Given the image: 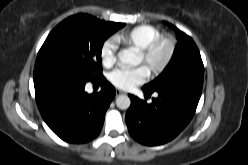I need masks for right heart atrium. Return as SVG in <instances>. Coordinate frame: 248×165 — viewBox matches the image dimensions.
<instances>
[{"mask_svg": "<svg viewBox=\"0 0 248 165\" xmlns=\"http://www.w3.org/2000/svg\"><path fill=\"white\" fill-rule=\"evenodd\" d=\"M100 59L104 67L111 68L117 61V44L112 38L107 39L101 46Z\"/></svg>", "mask_w": 248, "mask_h": 165, "instance_id": "d8ad5b80", "label": "right heart atrium"}]
</instances>
